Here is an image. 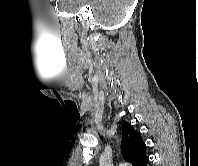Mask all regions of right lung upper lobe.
<instances>
[{"label": "right lung upper lobe", "instance_id": "1", "mask_svg": "<svg viewBox=\"0 0 198 166\" xmlns=\"http://www.w3.org/2000/svg\"><path fill=\"white\" fill-rule=\"evenodd\" d=\"M122 131L121 151L124 159L132 166H142L148 157L145 154L146 145L140 132L134 130L127 122L122 124Z\"/></svg>", "mask_w": 198, "mask_h": 166}]
</instances>
